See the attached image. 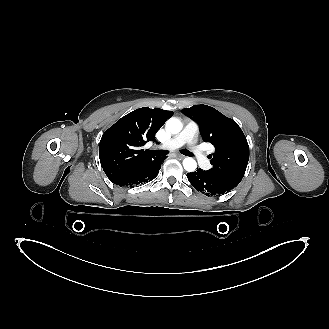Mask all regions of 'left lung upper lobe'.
I'll return each instance as SVG.
<instances>
[{
    "mask_svg": "<svg viewBox=\"0 0 329 329\" xmlns=\"http://www.w3.org/2000/svg\"><path fill=\"white\" fill-rule=\"evenodd\" d=\"M200 127L203 141L215 147L212 168L207 172L237 186L242 180L249 160V146L238 124L207 105H195L181 110Z\"/></svg>",
    "mask_w": 329,
    "mask_h": 329,
    "instance_id": "1",
    "label": "left lung upper lobe"
}]
</instances>
